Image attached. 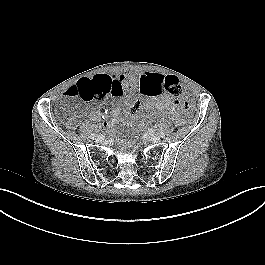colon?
<instances>
[{"instance_id": "colon-1", "label": "colon", "mask_w": 265, "mask_h": 265, "mask_svg": "<svg viewBox=\"0 0 265 265\" xmlns=\"http://www.w3.org/2000/svg\"><path fill=\"white\" fill-rule=\"evenodd\" d=\"M163 91L177 99V104L183 113L188 114L192 111L194 101L193 98L183 92L179 80L172 75L164 77L162 84ZM110 94L108 81L106 79L87 80L81 79L72 85L65 92L66 98L80 97L83 100L91 101L96 98H105ZM141 108V101L138 100L130 107L129 119H131ZM67 125L74 127L77 124L75 117H66Z\"/></svg>"}]
</instances>
